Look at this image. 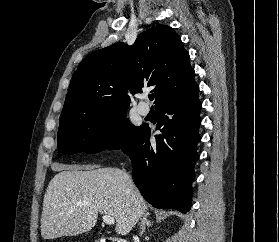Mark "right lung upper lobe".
<instances>
[{
    "mask_svg": "<svg viewBox=\"0 0 279 242\" xmlns=\"http://www.w3.org/2000/svg\"><path fill=\"white\" fill-rule=\"evenodd\" d=\"M188 52L173 28L158 25L129 47L123 42L90 53L73 74L60 125L126 112L130 94L153 87L155 108L192 89Z\"/></svg>",
    "mask_w": 279,
    "mask_h": 242,
    "instance_id": "cb5924a9",
    "label": "right lung upper lobe"
}]
</instances>
